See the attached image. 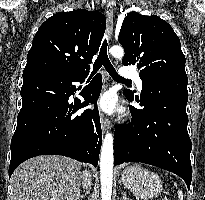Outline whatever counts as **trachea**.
Instances as JSON below:
<instances>
[{
	"instance_id": "obj_1",
	"label": "trachea",
	"mask_w": 205,
	"mask_h": 200,
	"mask_svg": "<svg viewBox=\"0 0 205 200\" xmlns=\"http://www.w3.org/2000/svg\"><path fill=\"white\" fill-rule=\"evenodd\" d=\"M104 66L106 71L109 73V75L116 81L118 82H123V83H132L130 80H126L122 77H120L118 75V73L116 72L115 68L113 67V65L111 64L108 55H107V41L106 39L104 40L98 58L95 61L94 65H93V70L91 72V75H94L101 66Z\"/></svg>"
}]
</instances>
